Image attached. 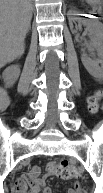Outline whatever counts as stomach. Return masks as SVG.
Here are the masks:
<instances>
[{"mask_svg": "<svg viewBox=\"0 0 103 193\" xmlns=\"http://www.w3.org/2000/svg\"><path fill=\"white\" fill-rule=\"evenodd\" d=\"M88 3H97L98 0H86Z\"/></svg>", "mask_w": 103, "mask_h": 193, "instance_id": "1", "label": "stomach"}]
</instances>
